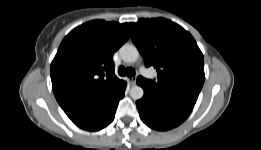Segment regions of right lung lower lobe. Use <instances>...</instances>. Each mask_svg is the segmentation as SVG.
<instances>
[{
  "mask_svg": "<svg viewBox=\"0 0 261 150\" xmlns=\"http://www.w3.org/2000/svg\"><path fill=\"white\" fill-rule=\"evenodd\" d=\"M126 89V87H125ZM125 89L110 102L102 106L87 117L75 122V124L85 130L97 131L109 125L114 117L119 100L124 96Z\"/></svg>",
  "mask_w": 261,
  "mask_h": 150,
  "instance_id": "right-lung-lower-lobe-1",
  "label": "right lung lower lobe"
}]
</instances>
